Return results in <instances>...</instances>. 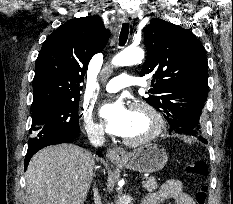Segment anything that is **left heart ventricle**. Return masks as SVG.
<instances>
[{
  "label": "left heart ventricle",
  "instance_id": "1",
  "mask_svg": "<svg viewBox=\"0 0 233 204\" xmlns=\"http://www.w3.org/2000/svg\"><path fill=\"white\" fill-rule=\"evenodd\" d=\"M153 128L150 116L143 110H131L124 138L136 139L148 134Z\"/></svg>",
  "mask_w": 233,
  "mask_h": 204
}]
</instances>
